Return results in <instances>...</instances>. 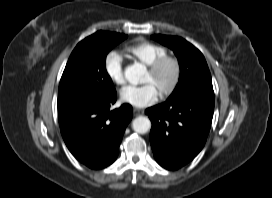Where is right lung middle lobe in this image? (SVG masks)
<instances>
[{"mask_svg": "<svg viewBox=\"0 0 272 198\" xmlns=\"http://www.w3.org/2000/svg\"><path fill=\"white\" fill-rule=\"evenodd\" d=\"M126 37L103 31L82 40L71 53L61 77L58 105L82 99H105L116 93L105 61L108 52Z\"/></svg>", "mask_w": 272, "mask_h": 198, "instance_id": "1", "label": "right lung middle lobe"}]
</instances>
